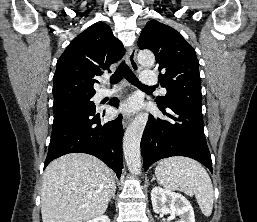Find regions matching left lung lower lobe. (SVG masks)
<instances>
[{"instance_id": "obj_1", "label": "left lung lower lobe", "mask_w": 257, "mask_h": 222, "mask_svg": "<svg viewBox=\"0 0 257 222\" xmlns=\"http://www.w3.org/2000/svg\"><path fill=\"white\" fill-rule=\"evenodd\" d=\"M158 107L171 120L149 116L141 139L144 170L160 159L185 156L199 161L212 172L202 109L177 101H170L166 106L158 103ZM166 107L171 109V114L166 113Z\"/></svg>"}]
</instances>
